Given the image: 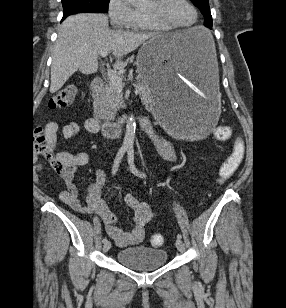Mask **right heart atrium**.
Here are the masks:
<instances>
[{
    "label": "right heart atrium",
    "instance_id": "right-heart-atrium-1",
    "mask_svg": "<svg viewBox=\"0 0 286 308\" xmlns=\"http://www.w3.org/2000/svg\"><path fill=\"white\" fill-rule=\"evenodd\" d=\"M107 12L110 23L115 28L132 29L138 22L139 12L128 0H108Z\"/></svg>",
    "mask_w": 286,
    "mask_h": 308
}]
</instances>
